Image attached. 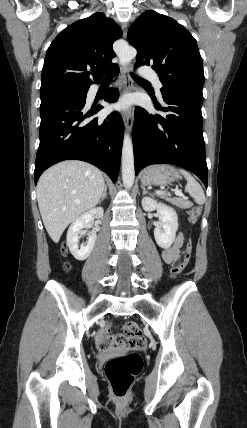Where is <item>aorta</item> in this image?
<instances>
[{
    "label": "aorta",
    "instance_id": "aorta-1",
    "mask_svg": "<svg viewBox=\"0 0 247 428\" xmlns=\"http://www.w3.org/2000/svg\"><path fill=\"white\" fill-rule=\"evenodd\" d=\"M120 65L127 66L136 56V50L127 44H124L117 50ZM135 168H134V152L133 144L128 134L124 135L122 147V180L127 188H131L134 183Z\"/></svg>",
    "mask_w": 247,
    "mask_h": 428
}]
</instances>
